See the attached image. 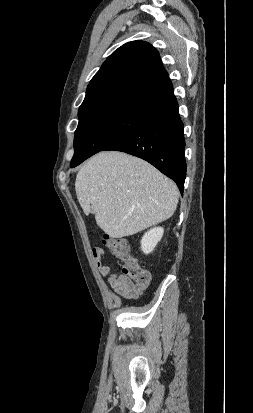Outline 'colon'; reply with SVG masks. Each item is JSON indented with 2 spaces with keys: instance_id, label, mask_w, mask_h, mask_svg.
<instances>
[{
  "instance_id": "5ec220e1",
  "label": "colon",
  "mask_w": 253,
  "mask_h": 413,
  "mask_svg": "<svg viewBox=\"0 0 253 413\" xmlns=\"http://www.w3.org/2000/svg\"><path fill=\"white\" fill-rule=\"evenodd\" d=\"M102 242L109 248L112 254L123 262V275L131 279L136 285H148L150 274L132 256L129 244L125 239L104 235Z\"/></svg>"
}]
</instances>
